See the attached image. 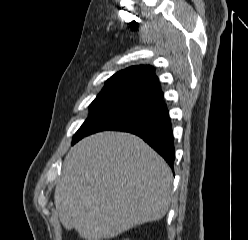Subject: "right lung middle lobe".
<instances>
[{
    "instance_id": "obj_1",
    "label": "right lung middle lobe",
    "mask_w": 248,
    "mask_h": 240,
    "mask_svg": "<svg viewBox=\"0 0 248 240\" xmlns=\"http://www.w3.org/2000/svg\"><path fill=\"white\" fill-rule=\"evenodd\" d=\"M135 102H137V100L132 97L101 91L96 99L90 104L89 116L75 133L73 137V144L81 139L102 119Z\"/></svg>"
}]
</instances>
